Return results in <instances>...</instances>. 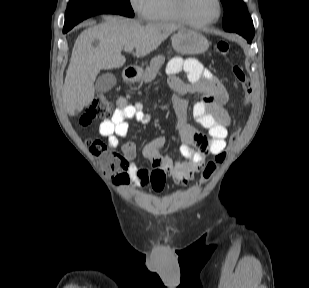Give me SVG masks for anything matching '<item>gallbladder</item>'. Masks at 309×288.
Masks as SVG:
<instances>
[{
	"label": "gallbladder",
	"mask_w": 309,
	"mask_h": 288,
	"mask_svg": "<svg viewBox=\"0 0 309 288\" xmlns=\"http://www.w3.org/2000/svg\"><path fill=\"white\" fill-rule=\"evenodd\" d=\"M116 85V77L106 73L101 75L95 83V90L99 93L110 91Z\"/></svg>",
	"instance_id": "bac80fb5"
}]
</instances>
